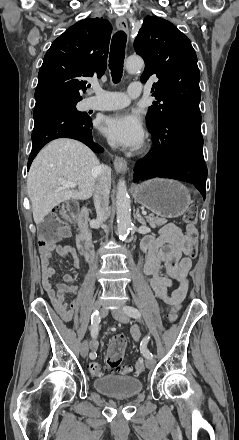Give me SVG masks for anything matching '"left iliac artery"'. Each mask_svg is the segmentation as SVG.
Listing matches in <instances>:
<instances>
[{"mask_svg":"<svg viewBox=\"0 0 239 440\" xmlns=\"http://www.w3.org/2000/svg\"><path fill=\"white\" fill-rule=\"evenodd\" d=\"M123 310L130 317H133V318H140L141 317V313L135 307L125 306L123 308ZM149 339H150V335L146 336L140 343L141 353L147 359L153 358V354L147 349V343H148Z\"/></svg>","mask_w":239,"mask_h":440,"instance_id":"1","label":"left iliac artery"}]
</instances>
